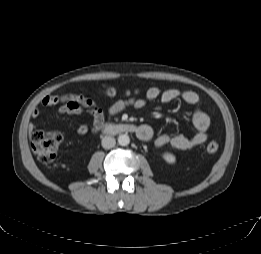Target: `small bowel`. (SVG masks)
<instances>
[{
    "instance_id": "1",
    "label": "small bowel",
    "mask_w": 261,
    "mask_h": 254,
    "mask_svg": "<svg viewBox=\"0 0 261 254\" xmlns=\"http://www.w3.org/2000/svg\"><path fill=\"white\" fill-rule=\"evenodd\" d=\"M161 100L163 103H170L175 100H181L192 107V120L196 133L192 136L161 134L154 136L153 129L149 125H141L137 130L138 137L143 141L154 140L157 147L170 145L178 150H191L204 144L208 139V131L210 128V118L200 106V98L198 94L191 90H181L178 88H169L161 90L158 87H150L144 96L139 98H130L127 100H115L109 104L106 109H102L89 98L82 95L65 93L60 96H46L42 100L43 106H51L59 104L57 114L79 115L83 113L89 114L93 119L91 127L92 131H98L102 125L115 114L123 111L128 107L135 109L143 108L148 102ZM40 110L38 108L32 111V117L38 118ZM34 124H30L29 130L33 131ZM89 126L85 123L81 124L77 133L85 135L89 131Z\"/></svg>"
}]
</instances>
